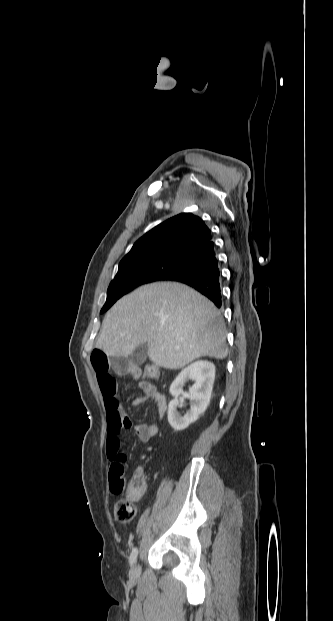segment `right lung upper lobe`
<instances>
[{
    "label": "right lung upper lobe",
    "mask_w": 333,
    "mask_h": 621,
    "mask_svg": "<svg viewBox=\"0 0 333 621\" xmlns=\"http://www.w3.org/2000/svg\"><path fill=\"white\" fill-rule=\"evenodd\" d=\"M212 239L211 230L200 217L181 213L138 239L120 263L163 257L186 258Z\"/></svg>",
    "instance_id": "right-lung-upper-lobe-1"
}]
</instances>
